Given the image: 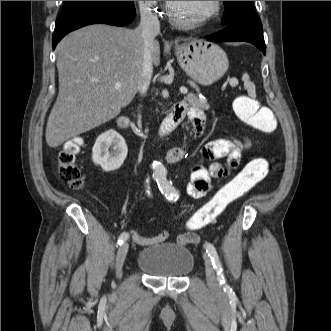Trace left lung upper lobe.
I'll return each instance as SVG.
<instances>
[{
  "mask_svg": "<svg viewBox=\"0 0 331 331\" xmlns=\"http://www.w3.org/2000/svg\"><path fill=\"white\" fill-rule=\"evenodd\" d=\"M224 5V26L259 19L254 9V1H224Z\"/></svg>",
  "mask_w": 331,
  "mask_h": 331,
  "instance_id": "obj_1",
  "label": "left lung upper lobe"
}]
</instances>
